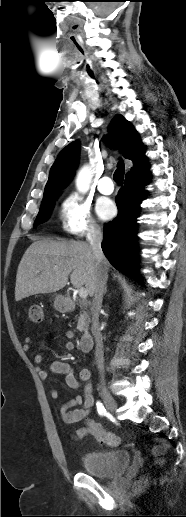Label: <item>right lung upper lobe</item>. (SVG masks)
<instances>
[{"label": "right lung upper lobe", "mask_w": 186, "mask_h": 517, "mask_svg": "<svg viewBox=\"0 0 186 517\" xmlns=\"http://www.w3.org/2000/svg\"><path fill=\"white\" fill-rule=\"evenodd\" d=\"M114 143L119 146L123 156L133 161L134 167L127 174L137 171L146 164L144 146L137 131L122 115H116L109 127ZM107 141V140H106ZM79 158V142L74 141L66 146L58 155L51 167L49 179L45 186L44 196L59 194L71 180Z\"/></svg>", "instance_id": "cb5924a9"}]
</instances>
